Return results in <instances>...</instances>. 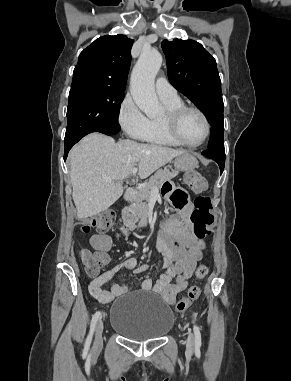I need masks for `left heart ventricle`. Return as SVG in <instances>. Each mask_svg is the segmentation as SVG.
Listing matches in <instances>:
<instances>
[{
  "instance_id": "left-heart-ventricle-1",
  "label": "left heart ventricle",
  "mask_w": 291,
  "mask_h": 381,
  "mask_svg": "<svg viewBox=\"0 0 291 381\" xmlns=\"http://www.w3.org/2000/svg\"><path fill=\"white\" fill-rule=\"evenodd\" d=\"M178 130L182 139L187 143H198L205 133L204 121L198 113L188 111L180 118Z\"/></svg>"
}]
</instances>
